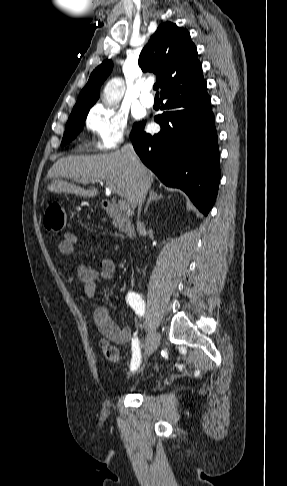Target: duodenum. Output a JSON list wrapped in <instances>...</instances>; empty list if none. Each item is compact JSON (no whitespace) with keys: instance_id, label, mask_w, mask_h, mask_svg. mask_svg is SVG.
<instances>
[{"instance_id":"1","label":"duodenum","mask_w":287,"mask_h":486,"mask_svg":"<svg viewBox=\"0 0 287 486\" xmlns=\"http://www.w3.org/2000/svg\"><path fill=\"white\" fill-rule=\"evenodd\" d=\"M102 206L107 215L118 222L123 234L132 239L135 236V229L129 218L108 201H103Z\"/></svg>"}]
</instances>
